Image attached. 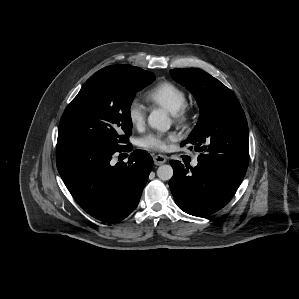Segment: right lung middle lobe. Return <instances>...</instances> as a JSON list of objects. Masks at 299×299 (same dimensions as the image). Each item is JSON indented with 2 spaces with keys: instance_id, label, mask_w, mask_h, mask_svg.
Wrapping results in <instances>:
<instances>
[{
  "instance_id": "1",
  "label": "right lung middle lobe",
  "mask_w": 299,
  "mask_h": 299,
  "mask_svg": "<svg viewBox=\"0 0 299 299\" xmlns=\"http://www.w3.org/2000/svg\"><path fill=\"white\" fill-rule=\"evenodd\" d=\"M154 79L152 72L130 65L97 71L66 107L57 144L103 151L122 149L132 131L130 106L135 93Z\"/></svg>"
}]
</instances>
